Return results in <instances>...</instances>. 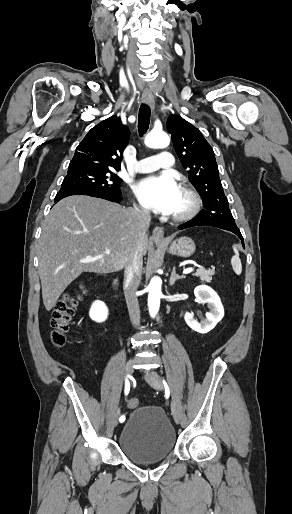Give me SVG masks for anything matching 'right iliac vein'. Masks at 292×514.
I'll return each instance as SVG.
<instances>
[{
  "instance_id": "obj_1",
  "label": "right iliac vein",
  "mask_w": 292,
  "mask_h": 514,
  "mask_svg": "<svg viewBox=\"0 0 292 514\" xmlns=\"http://www.w3.org/2000/svg\"><path fill=\"white\" fill-rule=\"evenodd\" d=\"M133 371H134L133 362L130 360L127 362L126 367H125V372H126L127 377H130L133 374ZM118 418H119V411L117 410L116 413L114 414V419H113L114 426L117 425Z\"/></svg>"
}]
</instances>
